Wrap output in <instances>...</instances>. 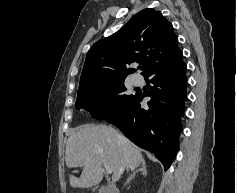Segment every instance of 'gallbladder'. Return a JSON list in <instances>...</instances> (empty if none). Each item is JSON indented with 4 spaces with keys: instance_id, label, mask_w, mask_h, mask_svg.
Instances as JSON below:
<instances>
[{
    "instance_id": "obj_1",
    "label": "gallbladder",
    "mask_w": 237,
    "mask_h": 193,
    "mask_svg": "<svg viewBox=\"0 0 237 193\" xmlns=\"http://www.w3.org/2000/svg\"><path fill=\"white\" fill-rule=\"evenodd\" d=\"M99 193H107V189L105 187H101Z\"/></svg>"
}]
</instances>
